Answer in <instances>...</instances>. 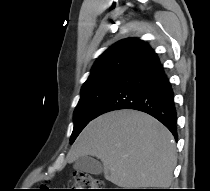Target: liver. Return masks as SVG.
Listing matches in <instances>:
<instances>
[{
    "instance_id": "6515ba94",
    "label": "liver",
    "mask_w": 210,
    "mask_h": 191,
    "mask_svg": "<svg viewBox=\"0 0 210 191\" xmlns=\"http://www.w3.org/2000/svg\"><path fill=\"white\" fill-rule=\"evenodd\" d=\"M88 155L103 162L108 181L125 189L169 187L177 163L170 131L150 115L128 109L92 120L67 159L72 163Z\"/></svg>"
}]
</instances>
